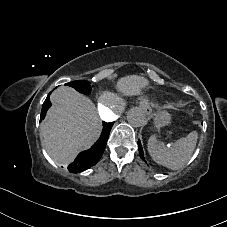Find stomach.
<instances>
[{"mask_svg": "<svg viewBox=\"0 0 227 227\" xmlns=\"http://www.w3.org/2000/svg\"><path fill=\"white\" fill-rule=\"evenodd\" d=\"M171 122V115L166 111H161L155 118V124L157 127L167 125Z\"/></svg>", "mask_w": 227, "mask_h": 227, "instance_id": "0dacf381", "label": "stomach"}]
</instances>
